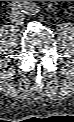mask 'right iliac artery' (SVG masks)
I'll return each mask as SVG.
<instances>
[{
	"label": "right iliac artery",
	"instance_id": "right-iliac-artery-1",
	"mask_svg": "<svg viewBox=\"0 0 74 122\" xmlns=\"http://www.w3.org/2000/svg\"><path fill=\"white\" fill-rule=\"evenodd\" d=\"M11 8L13 10H21L22 12H25L28 10V2L27 1H14L11 4Z\"/></svg>",
	"mask_w": 74,
	"mask_h": 122
}]
</instances>
